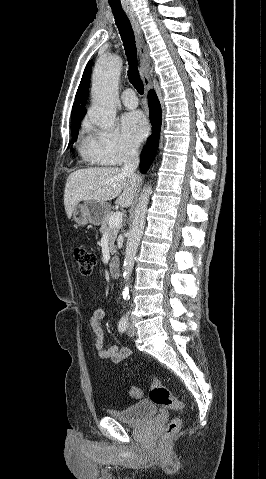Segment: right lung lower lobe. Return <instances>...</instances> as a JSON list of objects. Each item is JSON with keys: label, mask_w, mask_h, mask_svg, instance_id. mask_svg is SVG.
Returning <instances> with one entry per match:
<instances>
[{"label": "right lung lower lobe", "mask_w": 266, "mask_h": 479, "mask_svg": "<svg viewBox=\"0 0 266 479\" xmlns=\"http://www.w3.org/2000/svg\"><path fill=\"white\" fill-rule=\"evenodd\" d=\"M148 103L153 133L141 152L140 170L142 173H146L153 162L158 148L161 128V105L154 90H150L148 93Z\"/></svg>", "instance_id": "1"}]
</instances>
